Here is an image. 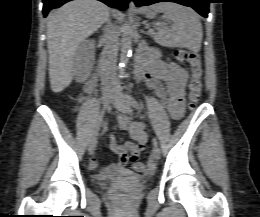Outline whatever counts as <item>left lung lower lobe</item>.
<instances>
[{"label":"left lung lower lobe","instance_id":"left-lung-lower-lobe-1","mask_svg":"<svg viewBox=\"0 0 260 217\" xmlns=\"http://www.w3.org/2000/svg\"><path fill=\"white\" fill-rule=\"evenodd\" d=\"M134 1L136 6L151 5L158 2H175L185 6L194 8L203 17L208 16V5L210 0H131Z\"/></svg>","mask_w":260,"mask_h":217}]
</instances>
